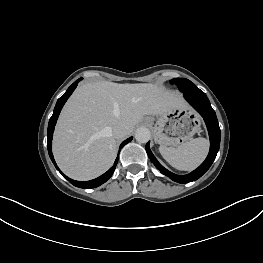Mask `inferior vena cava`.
Listing matches in <instances>:
<instances>
[{
  "label": "inferior vena cava",
  "mask_w": 263,
  "mask_h": 263,
  "mask_svg": "<svg viewBox=\"0 0 263 263\" xmlns=\"http://www.w3.org/2000/svg\"><path fill=\"white\" fill-rule=\"evenodd\" d=\"M112 133H113V136L117 139L124 138L127 134L125 124L120 122L114 125L112 128Z\"/></svg>",
  "instance_id": "602c4592"
}]
</instances>
